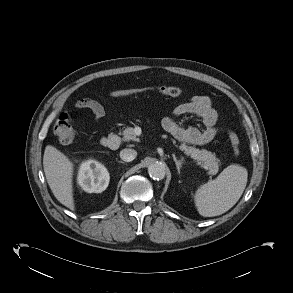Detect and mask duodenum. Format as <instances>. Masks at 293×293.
I'll list each match as a JSON object with an SVG mask.
<instances>
[{
	"label": "duodenum",
	"instance_id": "duodenum-1",
	"mask_svg": "<svg viewBox=\"0 0 293 293\" xmlns=\"http://www.w3.org/2000/svg\"><path fill=\"white\" fill-rule=\"evenodd\" d=\"M101 144L110 150H116L120 146V138L116 135L105 136L101 139Z\"/></svg>",
	"mask_w": 293,
	"mask_h": 293
}]
</instances>
